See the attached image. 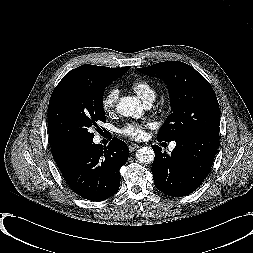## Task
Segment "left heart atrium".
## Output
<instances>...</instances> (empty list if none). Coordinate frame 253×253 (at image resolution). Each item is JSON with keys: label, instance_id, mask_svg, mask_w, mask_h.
<instances>
[{"label": "left heart atrium", "instance_id": "left-heart-atrium-1", "mask_svg": "<svg viewBox=\"0 0 253 253\" xmlns=\"http://www.w3.org/2000/svg\"><path fill=\"white\" fill-rule=\"evenodd\" d=\"M149 123H141V122H131L125 125L121 132L125 136L134 139V140H142L146 136V128L149 127Z\"/></svg>", "mask_w": 253, "mask_h": 253}]
</instances>
